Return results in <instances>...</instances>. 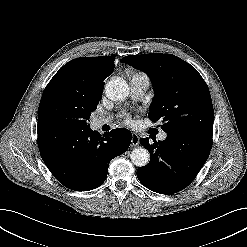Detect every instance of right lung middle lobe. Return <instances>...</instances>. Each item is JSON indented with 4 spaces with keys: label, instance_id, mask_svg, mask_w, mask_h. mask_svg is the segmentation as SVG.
<instances>
[{
    "label": "right lung middle lobe",
    "instance_id": "dd1d6c3e",
    "mask_svg": "<svg viewBox=\"0 0 247 247\" xmlns=\"http://www.w3.org/2000/svg\"><path fill=\"white\" fill-rule=\"evenodd\" d=\"M102 92L82 75L78 63H66L46 86L38 108V119L59 125L88 128L91 112L97 108Z\"/></svg>",
    "mask_w": 247,
    "mask_h": 247
}]
</instances>
